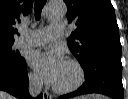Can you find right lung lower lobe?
I'll use <instances>...</instances> for the list:
<instances>
[{
    "mask_svg": "<svg viewBox=\"0 0 128 99\" xmlns=\"http://www.w3.org/2000/svg\"><path fill=\"white\" fill-rule=\"evenodd\" d=\"M0 90L20 99H32L28 93V75L24 58L14 67L0 65ZM40 98L42 95H39L38 99Z\"/></svg>",
    "mask_w": 128,
    "mask_h": 99,
    "instance_id": "98d812e1",
    "label": "right lung lower lobe"
}]
</instances>
